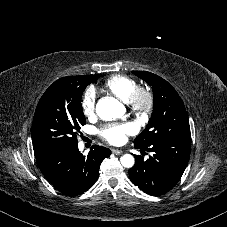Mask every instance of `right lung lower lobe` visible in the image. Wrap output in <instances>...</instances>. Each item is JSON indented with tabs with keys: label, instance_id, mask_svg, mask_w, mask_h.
<instances>
[{
	"label": "right lung lower lobe",
	"instance_id": "obj_1",
	"mask_svg": "<svg viewBox=\"0 0 227 227\" xmlns=\"http://www.w3.org/2000/svg\"><path fill=\"white\" fill-rule=\"evenodd\" d=\"M110 149L94 145L87 156L77 144L49 148L35 154L44 177L61 193L75 196L87 191L97 180L102 161Z\"/></svg>",
	"mask_w": 227,
	"mask_h": 227
}]
</instances>
